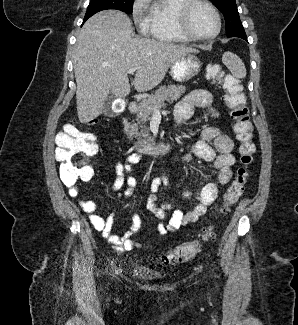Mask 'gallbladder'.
I'll return each mask as SVG.
<instances>
[{"instance_id": "gallbladder-1", "label": "gallbladder", "mask_w": 298, "mask_h": 325, "mask_svg": "<svg viewBox=\"0 0 298 325\" xmlns=\"http://www.w3.org/2000/svg\"><path fill=\"white\" fill-rule=\"evenodd\" d=\"M115 98L114 96H108L107 100H105V108L103 110V114H105V116H113V114H115L113 108H112V104L114 102Z\"/></svg>"}]
</instances>
